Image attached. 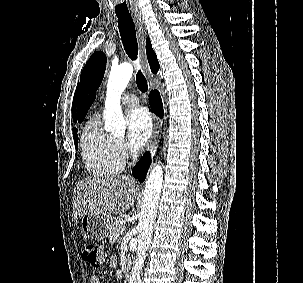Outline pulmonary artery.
I'll list each match as a JSON object with an SVG mask.
<instances>
[{
	"label": "pulmonary artery",
	"instance_id": "1",
	"mask_svg": "<svg viewBox=\"0 0 303 283\" xmlns=\"http://www.w3.org/2000/svg\"><path fill=\"white\" fill-rule=\"evenodd\" d=\"M138 98L135 94L127 93L122 98V103L128 107H135L138 105Z\"/></svg>",
	"mask_w": 303,
	"mask_h": 283
}]
</instances>
